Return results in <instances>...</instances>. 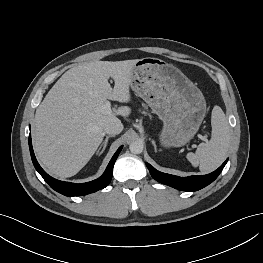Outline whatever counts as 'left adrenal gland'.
<instances>
[{
  "mask_svg": "<svg viewBox=\"0 0 263 263\" xmlns=\"http://www.w3.org/2000/svg\"><path fill=\"white\" fill-rule=\"evenodd\" d=\"M151 142H152V145L154 146L155 152H157V146H156V144H155V141L152 139Z\"/></svg>",
  "mask_w": 263,
  "mask_h": 263,
  "instance_id": "left-adrenal-gland-1",
  "label": "left adrenal gland"
}]
</instances>
